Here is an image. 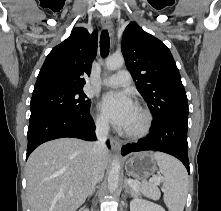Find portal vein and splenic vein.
Wrapping results in <instances>:
<instances>
[{
  "label": "portal vein and splenic vein",
  "instance_id": "1",
  "mask_svg": "<svg viewBox=\"0 0 221 211\" xmlns=\"http://www.w3.org/2000/svg\"><path fill=\"white\" fill-rule=\"evenodd\" d=\"M161 180H162V177H161V176L152 178V181L155 182L156 185H159L160 182H161ZM127 182H128V184H129L132 188H134V189H136V190L139 189V185H138V183H137L135 180L128 179Z\"/></svg>",
  "mask_w": 221,
  "mask_h": 211
}]
</instances>
